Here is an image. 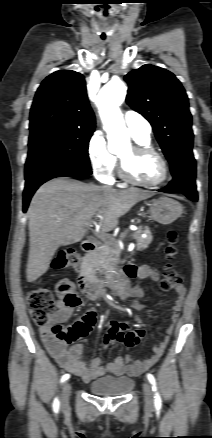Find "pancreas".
I'll use <instances>...</instances> for the list:
<instances>
[{
    "label": "pancreas",
    "instance_id": "1",
    "mask_svg": "<svg viewBox=\"0 0 212 438\" xmlns=\"http://www.w3.org/2000/svg\"><path fill=\"white\" fill-rule=\"evenodd\" d=\"M144 232L147 234L143 238L142 231H137L132 234V238L137 242V250L142 251L148 248L152 241V234L148 227H145ZM119 261V250L115 242L105 243L98 251H95L86 256L88 267L107 266L113 268Z\"/></svg>",
    "mask_w": 212,
    "mask_h": 438
}]
</instances>
